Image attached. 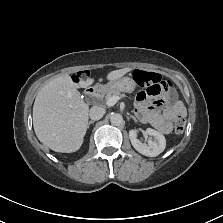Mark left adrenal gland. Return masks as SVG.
<instances>
[{"label":"left adrenal gland","instance_id":"obj_1","mask_svg":"<svg viewBox=\"0 0 223 223\" xmlns=\"http://www.w3.org/2000/svg\"><path fill=\"white\" fill-rule=\"evenodd\" d=\"M130 117L133 118V120H134L135 122L137 121L136 118H135V116L131 115Z\"/></svg>","mask_w":223,"mask_h":223}]
</instances>
